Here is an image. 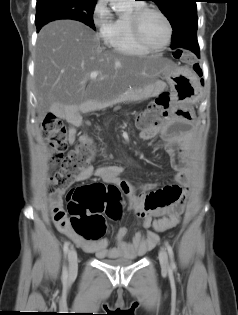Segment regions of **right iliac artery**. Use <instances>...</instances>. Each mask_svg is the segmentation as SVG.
Listing matches in <instances>:
<instances>
[{
    "label": "right iliac artery",
    "mask_w": 238,
    "mask_h": 315,
    "mask_svg": "<svg viewBox=\"0 0 238 315\" xmlns=\"http://www.w3.org/2000/svg\"><path fill=\"white\" fill-rule=\"evenodd\" d=\"M69 242L66 241L65 244H64V247H63V251H64V255L66 257L68 251H69ZM68 278V271H67V267L66 265L63 266V274H62V279L63 281H66Z\"/></svg>",
    "instance_id": "obj_1"
}]
</instances>
